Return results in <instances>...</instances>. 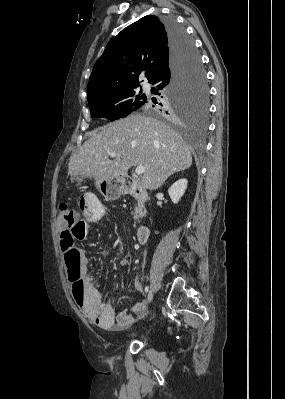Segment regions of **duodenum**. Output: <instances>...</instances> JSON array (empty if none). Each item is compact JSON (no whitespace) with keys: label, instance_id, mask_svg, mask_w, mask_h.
<instances>
[{"label":"duodenum","instance_id":"410a0bca","mask_svg":"<svg viewBox=\"0 0 285 399\" xmlns=\"http://www.w3.org/2000/svg\"><path fill=\"white\" fill-rule=\"evenodd\" d=\"M125 190L128 195L137 198L141 202H147L149 200V197L143 192L141 187L134 183L130 182L125 183ZM150 233H151L150 224L148 222H142L136 233L137 241L139 243L147 242Z\"/></svg>","mask_w":285,"mask_h":399}]
</instances>
